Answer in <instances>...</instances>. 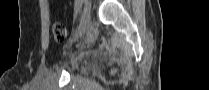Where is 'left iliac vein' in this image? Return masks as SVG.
<instances>
[{
	"mask_svg": "<svg viewBox=\"0 0 209 90\" xmlns=\"http://www.w3.org/2000/svg\"><path fill=\"white\" fill-rule=\"evenodd\" d=\"M91 18V3L86 2L82 11V19H80L79 29H74V39H79V36H82L84 32H87V23Z\"/></svg>",
	"mask_w": 209,
	"mask_h": 90,
	"instance_id": "1",
	"label": "left iliac vein"
}]
</instances>
